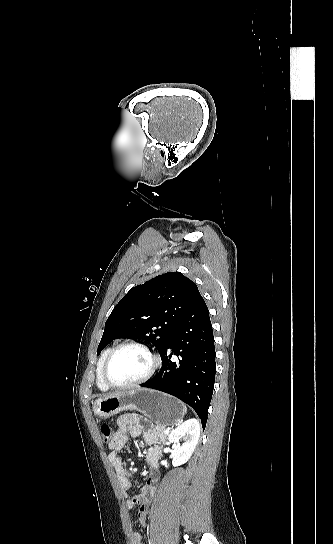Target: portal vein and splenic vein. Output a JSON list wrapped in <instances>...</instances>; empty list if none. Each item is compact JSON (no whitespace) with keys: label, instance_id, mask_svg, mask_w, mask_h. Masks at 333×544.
Returning <instances> with one entry per match:
<instances>
[{"label":"portal vein and splenic vein","instance_id":"portal-vein-and-splenic-vein-1","mask_svg":"<svg viewBox=\"0 0 333 544\" xmlns=\"http://www.w3.org/2000/svg\"><path fill=\"white\" fill-rule=\"evenodd\" d=\"M168 432H169V430H165V433H168Z\"/></svg>","mask_w":333,"mask_h":544}]
</instances>
